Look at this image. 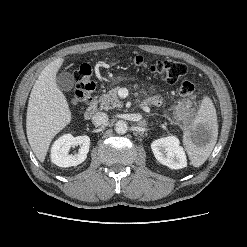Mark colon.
<instances>
[{
    "label": "colon",
    "mask_w": 247,
    "mask_h": 247,
    "mask_svg": "<svg viewBox=\"0 0 247 247\" xmlns=\"http://www.w3.org/2000/svg\"><path fill=\"white\" fill-rule=\"evenodd\" d=\"M131 64L150 74L162 77L168 83H175L187 73L185 64L171 59L160 60L155 63H147L140 56L131 59ZM76 88L72 96V103L76 106H82L90 99L91 92L94 89V82L91 80V68L87 64L81 65L73 73ZM195 86L189 79H184L180 83V94L183 97H190L194 92Z\"/></svg>",
    "instance_id": "1"
}]
</instances>
